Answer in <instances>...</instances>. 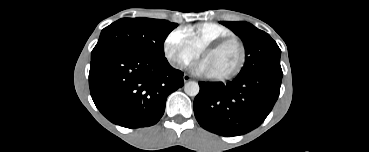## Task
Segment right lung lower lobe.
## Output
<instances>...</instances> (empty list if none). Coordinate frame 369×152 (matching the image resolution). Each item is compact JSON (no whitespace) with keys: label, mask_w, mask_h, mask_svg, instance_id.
<instances>
[{"label":"right lung lower lobe","mask_w":369,"mask_h":152,"mask_svg":"<svg viewBox=\"0 0 369 152\" xmlns=\"http://www.w3.org/2000/svg\"><path fill=\"white\" fill-rule=\"evenodd\" d=\"M183 75L166 58L113 51L91 59L90 93L112 123L147 127L160 120L168 95L184 85Z\"/></svg>","instance_id":"right-lung-lower-lobe-1"}]
</instances>
